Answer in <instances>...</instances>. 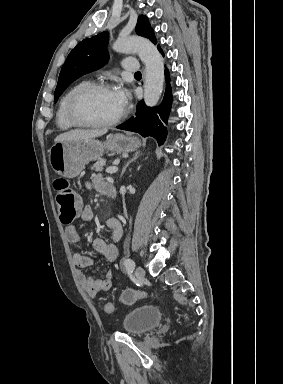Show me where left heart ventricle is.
Segmentation results:
<instances>
[{"instance_id": "obj_1", "label": "left heart ventricle", "mask_w": 283, "mask_h": 384, "mask_svg": "<svg viewBox=\"0 0 283 384\" xmlns=\"http://www.w3.org/2000/svg\"><path fill=\"white\" fill-rule=\"evenodd\" d=\"M112 90H98L87 94L78 102L76 115L84 123H103L119 113Z\"/></svg>"}]
</instances>
